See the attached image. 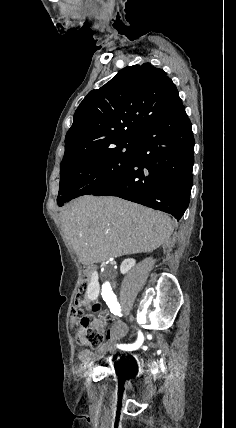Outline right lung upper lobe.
Here are the masks:
<instances>
[{
  "mask_svg": "<svg viewBox=\"0 0 236 428\" xmlns=\"http://www.w3.org/2000/svg\"><path fill=\"white\" fill-rule=\"evenodd\" d=\"M182 106L166 73L150 63L128 66L78 106L65 137L60 168L101 152L118 142L135 140Z\"/></svg>",
  "mask_w": 236,
  "mask_h": 428,
  "instance_id": "cb5924a9",
  "label": "right lung upper lobe"
}]
</instances>
